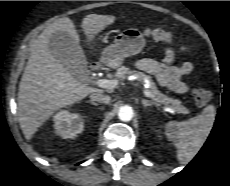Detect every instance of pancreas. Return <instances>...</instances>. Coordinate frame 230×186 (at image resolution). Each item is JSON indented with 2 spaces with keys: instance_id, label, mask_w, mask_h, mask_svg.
<instances>
[{
  "instance_id": "1",
  "label": "pancreas",
  "mask_w": 230,
  "mask_h": 186,
  "mask_svg": "<svg viewBox=\"0 0 230 186\" xmlns=\"http://www.w3.org/2000/svg\"><path fill=\"white\" fill-rule=\"evenodd\" d=\"M126 75H135L138 77V81H140V82H144V80L149 81V88H150L149 91L151 92V94L153 95V97L156 99V101L158 103H162L166 106L171 107L177 113H182V114H188L189 113V110L181 104L180 100L173 99V98H170V97L162 94L157 89L155 83L152 81L150 76H148L142 72H138L136 70H130V68H128L126 66L119 67L115 73V77L118 80L124 79Z\"/></svg>"
}]
</instances>
